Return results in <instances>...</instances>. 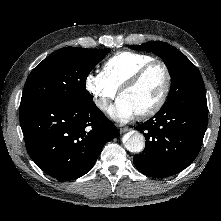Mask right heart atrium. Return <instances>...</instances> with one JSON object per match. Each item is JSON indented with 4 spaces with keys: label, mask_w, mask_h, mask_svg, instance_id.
I'll use <instances>...</instances> for the list:
<instances>
[{
    "label": "right heart atrium",
    "mask_w": 221,
    "mask_h": 221,
    "mask_svg": "<svg viewBox=\"0 0 221 221\" xmlns=\"http://www.w3.org/2000/svg\"><path fill=\"white\" fill-rule=\"evenodd\" d=\"M84 86L96 107L101 111L107 109L117 94V89L108 82L102 72H89L84 79Z\"/></svg>",
    "instance_id": "1"
}]
</instances>
